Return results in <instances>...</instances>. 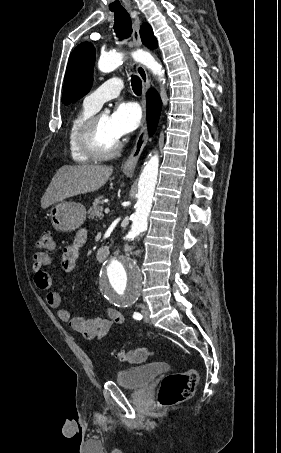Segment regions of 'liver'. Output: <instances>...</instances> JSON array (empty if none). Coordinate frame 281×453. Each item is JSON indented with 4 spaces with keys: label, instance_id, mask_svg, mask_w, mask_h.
Here are the masks:
<instances>
[{
    "label": "liver",
    "instance_id": "obj_1",
    "mask_svg": "<svg viewBox=\"0 0 281 453\" xmlns=\"http://www.w3.org/2000/svg\"><path fill=\"white\" fill-rule=\"evenodd\" d=\"M113 172V166H101V164H64L54 174L45 194L41 198L42 208H47L54 202L75 196L94 192L104 186Z\"/></svg>",
    "mask_w": 281,
    "mask_h": 453
}]
</instances>
